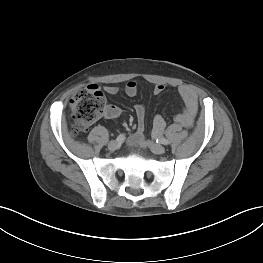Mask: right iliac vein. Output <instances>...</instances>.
Masks as SVG:
<instances>
[{
	"label": "right iliac vein",
	"mask_w": 263,
	"mask_h": 263,
	"mask_svg": "<svg viewBox=\"0 0 263 263\" xmlns=\"http://www.w3.org/2000/svg\"><path fill=\"white\" fill-rule=\"evenodd\" d=\"M117 147H118V142L115 141V140H112V141H110V142L108 143V149H109L110 151H115V150L117 149Z\"/></svg>",
	"instance_id": "right-iliac-vein-1"
}]
</instances>
